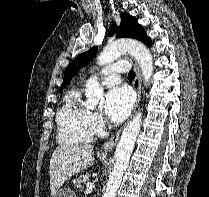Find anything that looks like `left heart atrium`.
Here are the masks:
<instances>
[{
    "label": "left heart atrium",
    "instance_id": "left-heart-atrium-1",
    "mask_svg": "<svg viewBox=\"0 0 209 197\" xmlns=\"http://www.w3.org/2000/svg\"><path fill=\"white\" fill-rule=\"evenodd\" d=\"M133 103L134 96L128 87H114L106 95L104 111L110 120L119 123L129 115Z\"/></svg>",
    "mask_w": 209,
    "mask_h": 197
}]
</instances>
